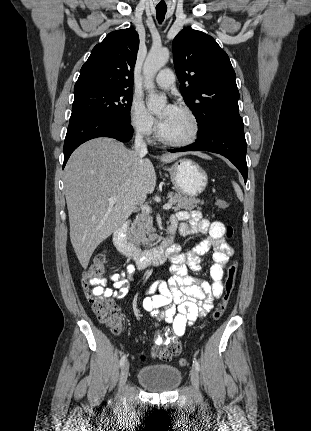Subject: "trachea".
I'll return each instance as SVG.
<instances>
[{"instance_id":"trachea-1","label":"trachea","mask_w":311,"mask_h":431,"mask_svg":"<svg viewBox=\"0 0 311 431\" xmlns=\"http://www.w3.org/2000/svg\"><path fill=\"white\" fill-rule=\"evenodd\" d=\"M167 11V7H156V17L158 22H163L165 14Z\"/></svg>"}]
</instances>
